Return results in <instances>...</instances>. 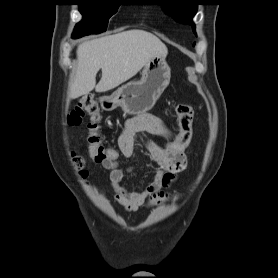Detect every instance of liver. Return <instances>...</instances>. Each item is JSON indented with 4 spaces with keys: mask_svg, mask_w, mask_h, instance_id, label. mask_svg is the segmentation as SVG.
Returning <instances> with one entry per match:
<instances>
[{
    "mask_svg": "<svg viewBox=\"0 0 278 278\" xmlns=\"http://www.w3.org/2000/svg\"><path fill=\"white\" fill-rule=\"evenodd\" d=\"M166 45L144 30H128L79 45L78 65L68 97L76 99L95 89L106 92L134 77L154 56H166ZM102 77L96 85V74Z\"/></svg>",
    "mask_w": 278,
    "mask_h": 278,
    "instance_id": "6515ba94",
    "label": "liver"
}]
</instances>
